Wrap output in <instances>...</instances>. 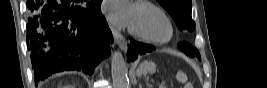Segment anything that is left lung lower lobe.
<instances>
[{
    "instance_id": "0a47b994",
    "label": "left lung lower lobe",
    "mask_w": 267,
    "mask_h": 88,
    "mask_svg": "<svg viewBox=\"0 0 267 88\" xmlns=\"http://www.w3.org/2000/svg\"><path fill=\"white\" fill-rule=\"evenodd\" d=\"M178 47L181 51L185 52L188 56H192V48L191 46L184 42L178 44ZM155 50V47L152 45L136 42V41H131L129 46H128V61H133L137 58V54H144L149 51ZM194 55L198 58H200V55L198 51L196 50L194 52Z\"/></svg>"
}]
</instances>
